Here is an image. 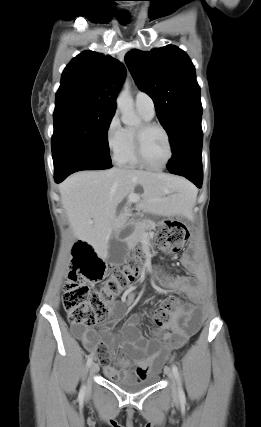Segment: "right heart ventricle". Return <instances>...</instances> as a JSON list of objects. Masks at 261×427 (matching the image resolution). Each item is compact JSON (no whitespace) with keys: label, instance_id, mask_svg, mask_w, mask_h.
<instances>
[{"label":"right heart ventricle","instance_id":"right-heart-ventricle-1","mask_svg":"<svg viewBox=\"0 0 261 427\" xmlns=\"http://www.w3.org/2000/svg\"><path fill=\"white\" fill-rule=\"evenodd\" d=\"M141 117L145 121H149L150 118H147L143 113L139 112ZM116 162L126 168H138L142 165L138 162L135 149H134V130L131 128H126L124 133V146L121 153L117 156Z\"/></svg>","mask_w":261,"mask_h":427}]
</instances>
